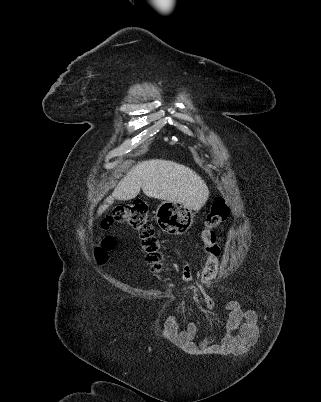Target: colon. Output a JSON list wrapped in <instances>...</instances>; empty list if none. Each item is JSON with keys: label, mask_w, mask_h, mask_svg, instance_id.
Listing matches in <instances>:
<instances>
[{"label": "colon", "mask_w": 321, "mask_h": 402, "mask_svg": "<svg viewBox=\"0 0 321 402\" xmlns=\"http://www.w3.org/2000/svg\"><path fill=\"white\" fill-rule=\"evenodd\" d=\"M230 208L223 198H217L211 205L206 215L204 230L201 233V241L205 252V263L202 274L197 275V282L202 286V294H209L211 288L209 280L213 279L219 271V259L221 247L217 240L215 229L229 216ZM112 223L126 225L136 230L141 238L142 246L147 253V260L154 270H161L163 266V255L160 252L161 244L156 231L149 219L148 206L146 203L137 201L131 204L120 206L114 210L112 215L104 222L105 226ZM116 241L113 237H106L102 244L95 249V257L99 263L106 261L108 253L115 247ZM169 289V286H166Z\"/></svg>", "instance_id": "obj_1"}]
</instances>
